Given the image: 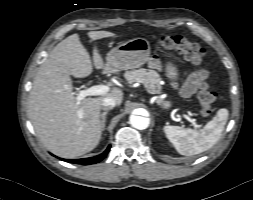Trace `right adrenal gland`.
<instances>
[{
	"label": "right adrenal gland",
	"mask_w": 253,
	"mask_h": 200,
	"mask_svg": "<svg viewBox=\"0 0 253 200\" xmlns=\"http://www.w3.org/2000/svg\"><path fill=\"white\" fill-rule=\"evenodd\" d=\"M108 114V110H106L105 112H103L101 114V130L104 131L105 129V125H106V115Z\"/></svg>",
	"instance_id": "1"
}]
</instances>
